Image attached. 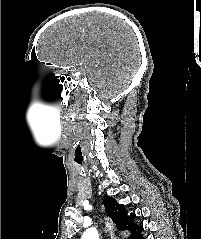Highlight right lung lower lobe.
<instances>
[{"instance_id": "1", "label": "right lung lower lobe", "mask_w": 201, "mask_h": 239, "mask_svg": "<svg viewBox=\"0 0 201 239\" xmlns=\"http://www.w3.org/2000/svg\"><path fill=\"white\" fill-rule=\"evenodd\" d=\"M138 239H144V238H140V236H139Z\"/></svg>"}]
</instances>
